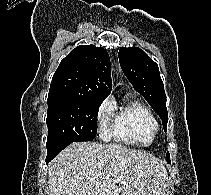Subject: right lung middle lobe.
<instances>
[{"instance_id":"dd1d6c3e","label":"right lung middle lobe","mask_w":211,"mask_h":195,"mask_svg":"<svg viewBox=\"0 0 211 195\" xmlns=\"http://www.w3.org/2000/svg\"><path fill=\"white\" fill-rule=\"evenodd\" d=\"M103 100L48 95L47 152L68 143L90 141L97 133V115Z\"/></svg>"}]
</instances>
